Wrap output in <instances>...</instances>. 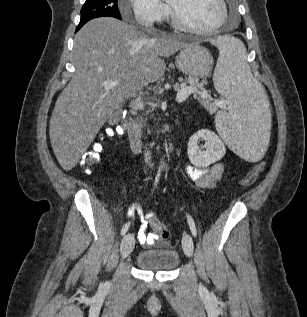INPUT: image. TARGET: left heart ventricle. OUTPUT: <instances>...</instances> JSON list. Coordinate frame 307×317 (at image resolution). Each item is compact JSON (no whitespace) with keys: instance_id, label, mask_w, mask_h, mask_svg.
<instances>
[{"instance_id":"left-heart-ventricle-1","label":"left heart ventricle","mask_w":307,"mask_h":317,"mask_svg":"<svg viewBox=\"0 0 307 317\" xmlns=\"http://www.w3.org/2000/svg\"><path fill=\"white\" fill-rule=\"evenodd\" d=\"M168 3L185 24L197 29L212 27L221 15L217 0H168Z\"/></svg>"}]
</instances>
